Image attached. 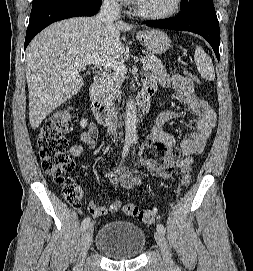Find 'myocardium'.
Here are the masks:
<instances>
[{
  "label": "myocardium",
  "instance_id": "obj_1",
  "mask_svg": "<svg viewBox=\"0 0 253 271\" xmlns=\"http://www.w3.org/2000/svg\"><path fill=\"white\" fill-rule=\"evenodd\" d=\"M132 1L134 5V12L138 16L143 17L145 19H149V20H166L175 16L180 11L182 7V2H183V0H175L173 7L169 11L165 13H161V14H154V13H148L144 11L140 7L138 0H132Z\"/></svg>",
  "mask_w": 253,
  "mask_h": 271
}]
</instances>
